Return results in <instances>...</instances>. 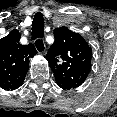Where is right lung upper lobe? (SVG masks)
<instances>
[{
	"instance_id": "1",
	"label": "right lung upper lobe",
	"mask_w": 117,
	"mask_h": 117,
	"mask_svg": "<svg viewBox=\"0 0 117 117\" xmlns=\"http://www.w3.org/2000/svg\"><path fill=\"white\" fill-rule=\"evenodd\" d=\"M21 35L13 30L0 39V87L15 90L23 84L29 69V58L37 51L33 44L21 45Z\"/></svg>"
}]
</instances>
